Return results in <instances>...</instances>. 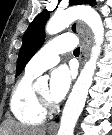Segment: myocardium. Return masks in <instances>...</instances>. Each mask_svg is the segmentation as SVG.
Returning a JSON list of instances; mask_svg holds the SVG:
<instances>
[{"label": "myocardium", "mask_w": 112, "mask_h": 135, "mask_svg": "<svg viewBox=\"0 0 112 135\" xmlns=\"http://www.w3.org/2000/svg\"><path fill=\"white\" fill-rule=\"evenodd\" d=\"M35 97L39 107L45 112H53L56 109V105L49 99L42 97L37 90H35Z\"/></svg>", "instance_id": "obj_1"}]
</instances>
